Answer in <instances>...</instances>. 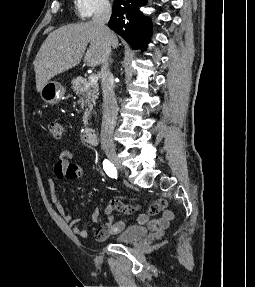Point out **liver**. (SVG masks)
Returning <instances> with one entry per match:
<instances>
[{
  "label": "liver",
  "instance_id": "liver-1",
  "mask_svg": "<svg viewBox=\"0 0 255 287\" xmlns=\"http://www.w3.org/2000/svg\"><path fill=\"white\" fill-rule=\"evenodd\" d=\"M109 42L112 48H117L118 38L115 34L110 36ZM88 44L89 50L85 54ZM83 56L86 66L90 68L101 64L103 40L97 24H68L51 32L33 62L37 92H41L43 86L54 76L75 68Z\"/></svg>",
  "mask_w": 255,
  "mask_h": 287
}]
</instances>
